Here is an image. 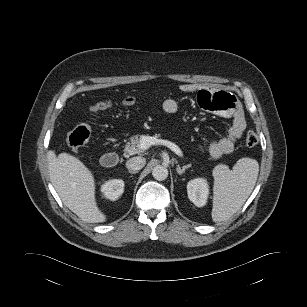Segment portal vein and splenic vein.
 I'll list each match as a JSON object with an SVG mask.
<instances>
[{
	"mask_svg": "<svg viewBox=\"0 0 307 307\" xmlns=\"http://www.w3.org/2000/svg\"><path fill=\"white\" fill-rule=\"evenodd\" d=\"M159 144L167 146L178 156L181 157L183 156L182 150L175 143L165 139H157L152 136L143 135L140 141V148L146 150L152 145H159Z\"/></svg>",
	"mask_w": 307,
	"mask_h": 307,
	"instance_id": "obj_1",
	"label": "portal vein and splenic vein"
}]
</instances>
